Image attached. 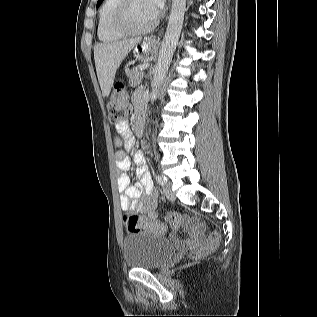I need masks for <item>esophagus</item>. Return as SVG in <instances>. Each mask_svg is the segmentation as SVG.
Masks as SVG:
<instances>
[{"mask_svg": "<svg viewBox=\"0 0 317 317\" xmlns=\"http://www.w3.org/2000/svg\"><path fill=\"white\" fill-rule=\"evenodd\" d=\"M148 41H153V38H152V37H150V38L148 39Z\"/></svg>", "mask_w": 317, "mask_h": 317, "instance_id": "esophagus-1", "label": "esophagus"}]
</instances>
